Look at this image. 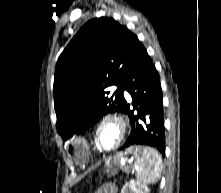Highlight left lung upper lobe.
I'll use <instances>...</instances> for the list:
<instances>
[{"label": "left lung upper lobe", "mask_w": 221, "mask_h": 193, "mask_svg": "<svg viewBox=\"0 0 221 193\" xmlns=\"http://www.w3.org/2000/svg\"><path fill=\"white\" fill-rule=\"evenodd\" d=\"M140 44L127 27L107 17L94 18L77 32L60 55L54 78L56 127L64 140L86 130L104 114L123 112L126 100L121 84ZM112 85L118 87L113 94ZM156 116L151 107L148 121H155Z\"/></svg>", "instance_id": "1"}]
</instances>
